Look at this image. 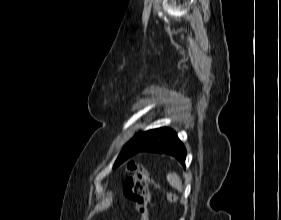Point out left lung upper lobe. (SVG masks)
Segmentation results:
<instances>
[{
    "label": "left lung upper lobe",
    "mask_w": 281,
    "mask_h": 220,
    "mask_svg": "<svg viewBox=\"0 0 281 220\" xmlns=\"http://www.w3.org/2000/svg\"><path fill=\"white\" fill-rule=\"evenodd\" d=\"M155 131L156 129L137 134L129 143L125 145L119 157L117 158L114 167L120 165L127 158L134 155L141 146H143L153 137Z\"/></svg>",
    "instance_id": "1"
}]
</instances>
